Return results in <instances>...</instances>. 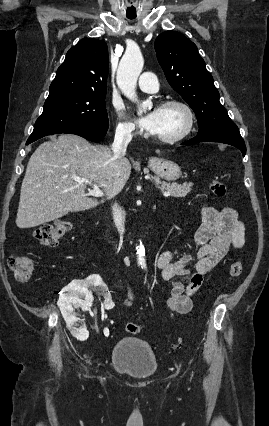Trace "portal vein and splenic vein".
I'll return each instance as SVG.
<instances>
[{
	"label": "portal vein and splenic vein",
	"mask_w": 269,
	"mask_h": 426,
	"mask_svg": "<svg viewBox=\"0 0 269 426\" xmlns=\"http://www.w3.org/2000/svg\"><path fill=\"white\" fill-rule=\"evenodd\" d=\"M74 179L78 181L79 183H85L92 186L93 189L89 191V195L95 196V197H102L104 195L103 191L100 190L99 187L96 184H94L92 181L87 179H82V178H74ZM163 196L169 197L171 196V193L169 191L164 192Z\"/></svg>",
	"instance_id": "portal-vein-and-splenic-vein-1"
}]
</instances>
